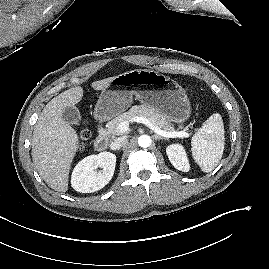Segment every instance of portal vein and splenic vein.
Returning <instances> with one entry per match:
<instances>
[{
  "instance_id": "1",
  "label": "portal vein and splenic vein",
  "mask_w": 269,
  "mask_h": 269,
  "mask_svg": "<svg viewBox=\"0 0 269 269\" xmlns=\"http://www.w3.org/2000/svg\"><path fill=\"white\" fill-rule=\"evenodd\" d=\"M131 121L143 123L144 125L149 127L151 130H153L156 134L163 136V137H170V138H174V137H186L187 138V137H189V133H187L185 131L167 132V131L161 130L153 122L149 121L145 117L136 116V117L132 118ZM117 129L122 134L127 132L129 130V121L121 122L118 125Z\"/></svg>"
}]
</instances>
